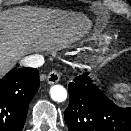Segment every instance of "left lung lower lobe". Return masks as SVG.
Returning <instances> with one entry per match:
<instances>
[{
    "mask_svg": "<svg viewBox=\"0 0 131 131\" xmlns=\"http://www.w3.org/2000/svg\"><path fill=\"white\" fill-rule=\"evenodd\" d=\"M68 90L64 119L69 131H131V108L115 105L87 73L69 83Z\"/></svg>",
    "mask_w": 131,
    "mask_h": 131,
    "instance_id": "0a47b994",
    "label": "left lung lower lobe"
}]
</instances>
